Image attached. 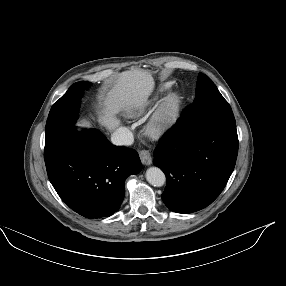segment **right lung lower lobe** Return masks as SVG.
<instances>
[{
	"label": "right lung lower lobe",
	"instance_id": "1",
	"mask_svg": "<svg viewBox=\"0 0 286 286\" xmlns=\"http://www.w3.org/2000/svg\"><path fill=\"white\" fill-rule=\"evenodd\" d=\"M50 182L72 210L86 218L114 214L124 199V181L142 169L136 151L112 145L98 130L66 129L45 139Z\"/></svg>",
	"mask_w": 286,
	"mask_h": 286
}]
</instances>
